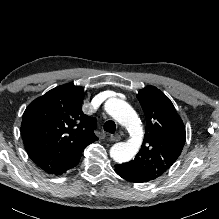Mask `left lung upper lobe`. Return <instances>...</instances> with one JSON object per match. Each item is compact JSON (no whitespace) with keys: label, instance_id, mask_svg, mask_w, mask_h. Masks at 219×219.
I'll use <instances>...</instances> for the list:
<instances>
[{"label":"left lung upper lobe","instance_id":"left-lung-upper-lobe-1","mask_svg":"<svg viewBox=\"0 0 219 219\" xmlns=\"http://www.w3.org/2000/svg\"><path fill=\"white\" fill-rule=\"evenodd\" d=\"M137 98L146 116L145 136L135 158L122 165L154 180L181 154L186 139L185 127L170 99L156 87L140 90Z\"/></svg>","mask_w":219,"mask_h":219}]
</instances>
